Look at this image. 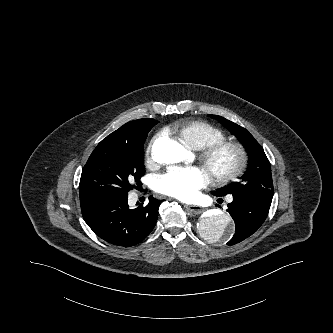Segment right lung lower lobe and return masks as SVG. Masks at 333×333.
Wrapping results in <instances>:
<instances>
[{
  "mask_svg": "<svg viewBox=\"0 0 333 333\" xmlns=\"http://www.w3.org/2000/svg\"><path fill=\"white\" fill-rule=\"evenodd\" d=\"M127 201L128 195L80 201L83 218L101 239L117 246H134L153 230L160 201L150 196L147 206L135 209H130Z\"/></svg>",
  "mask_w": 333,
  "mask_h": 333,
  "instance_id": "98d812e1",
  "label": "right lung lower lobe"
}]
</instances>
